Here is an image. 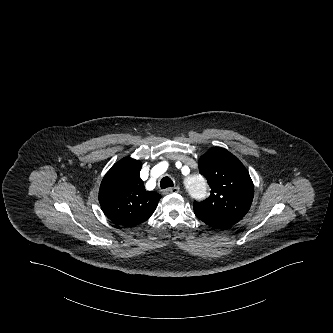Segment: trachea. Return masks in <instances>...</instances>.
I'll list each match as a JSON object with an SVG mask.
<instances>
[{
    "label": "trachea",
    "instance_id": "1",
    "mask_svg": "<svg viewBox=\"0 0 333 333\" xmlns=\"http://www.w3.org/2000/svg\"><path fill=\"white\" fill-rule=\"evenodd\" d=\"M160 186L162 189L168 188V187H173V181L169 177H163L160 181Z\"/></svg>",
    "mask_w": 333,
    "mask_h": 333
}]
</instances>
